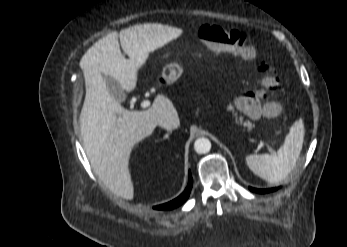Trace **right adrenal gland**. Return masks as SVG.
Returning a JSON list of instances; mask_svg holds the SVG:
<instances>
[{
	"mask_svg": "<svg viewBox=\"0 0 347 247\" xmlns=\"http://www.w3.org/2000/svg\"><path fill=\"white\" fill-rule=\"evenodd\" d=\"M171 132H168L164 137H163V140L165 139H168L169 138V135H170ZM162 140V139H161ZM160 141V140H157V142Z\"/></svg>",
	"mask_w": 347,
	"mask_h": 247,
	"instance_id": "right-adrenal-gland-1",
	"label": "right adrenal gland"
}]
</instances>
